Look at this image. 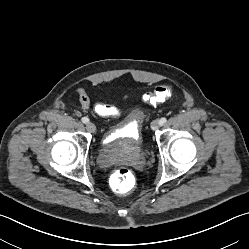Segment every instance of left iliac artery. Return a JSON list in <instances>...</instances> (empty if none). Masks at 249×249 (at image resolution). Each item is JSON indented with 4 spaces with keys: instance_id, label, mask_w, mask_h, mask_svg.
<instances>
[{
    "instance_id": "44dca946",
    "label": "left iliac artery",
    "mask_w": 249,
    "mask_h": 249,
    "mask_svg": "<svg viewBox=\"0 0 249 249\" xmlns=\"http://www.w3.org/2000/svg\"><path fill=\"white\" fill-rule=\"evenodd\" d=\"M166 118L165 117H162L160 120H159V125L162 126L166 123Z\"/></svg>"
}]
</instances>
